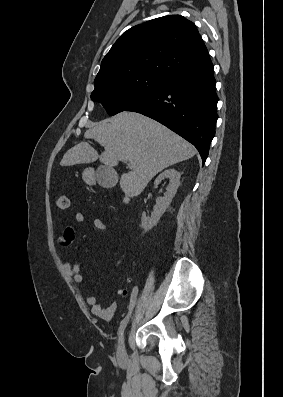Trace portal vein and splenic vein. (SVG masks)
Segmentation results:
<instances>
[{"label": "portal vein and splenic vein", "mask_w": 283, "mask_h": 397, "mask_svg": "<svg viewBox=\"0 0 283 397\" xmlns=\"http://www.w3.org/2000/svg\"><path fill=\"white\" fill-rule=\"evenodd\" d=\"M123 162H127V160H122Z\"/></svg>", "instance_id": "18ae733b"}]
</instances>
